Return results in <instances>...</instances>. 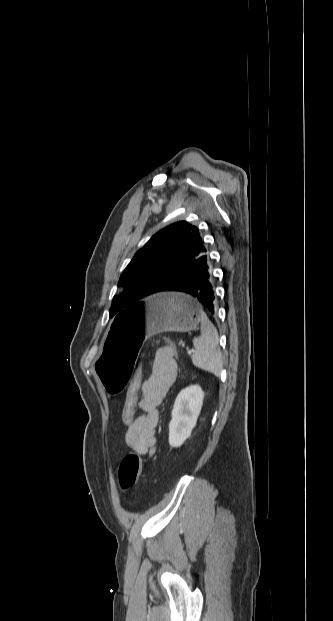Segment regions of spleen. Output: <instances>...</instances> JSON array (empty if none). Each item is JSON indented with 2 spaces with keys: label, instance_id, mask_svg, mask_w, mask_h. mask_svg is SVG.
I'll use <instances>...</instances> for the list:
<instances>
[{
  "label": "spleen",
  "instance_id": "spleen-1",
  "mask_svg": "<svg viewBox=\"0 0 333 621\" xmlns=\"http://www.w3.org/2000/svg\"><path fill=\"white\" fill-rule=\"evenodd\" d=\"M200 324L201 335L193 339L195 352L192 355V362L197 368L211 372L218 377L221 374L223 362L217 329L205 313Z\"/></svg>",
  "mask_w": 333,
  "mask_h": 621
}]
</instances>
